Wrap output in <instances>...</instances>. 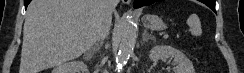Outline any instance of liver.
<instances>
[{
  "instance_id": "obj_1",
  "label": "liver",
  "mask_w": 244,
  "mask_h": 73,
  "mask_svg": "<svg viewBox=\"0 0 244 73\" xmlns=\"http://www.w3.org/2000/svg\"><path fill=\"white\" fill-rule=\"evenodd\" d=\"M101 0H32L19 73H40L87 52L99 37Z\"/></svg>"
}]
</instances>
